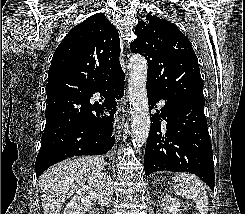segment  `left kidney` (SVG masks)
Masks as SVG:
<instances>
[{
    "label": "left kidney",
    "mask_w": 245,
    "mask_h": 214,
    "mask_svg": "<svg viewBox=\"0 0 245 214\" xmlns=\"http://www.w3.org/2000/svg\"><path fill=\"white\" fill-rule=\"evenodd\" d=\"M181 203L171 197L170 195H165L160 204L159 214H181Z\"/></svg>",
    "instance_id": "1"
}]
</instances>
